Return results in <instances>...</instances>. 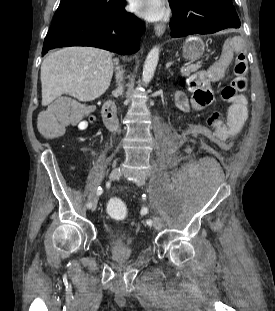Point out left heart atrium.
<instances>
[{
  "mask_svg": "<svg viewBox=\"0 0 275 311\" xmlns=\"http://www.w3.org/2000/svg\"><path fill=\"white\" fill-rule=\"evenodd\" d=\"M132 8L149 21L161 20L167 14L165 0H132Z\"/></svg>",
  "mask_w": 275,
  "mask_h": 311,
  "instance_id": "1",
  "label": "left heart atrium"
}]
</instances>
